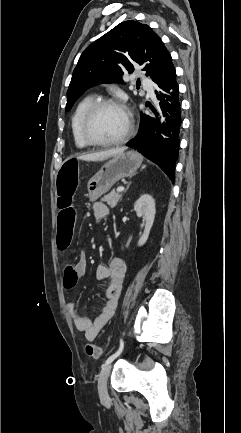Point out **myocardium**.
Masks as SVG:
<instances>
[{
    "label": "myocardium",
    "instance_id": "obj_1",
    "mask_svg": "<svg viewBox=\"0 0 241 433\" xmlns=\"http://www.w3.org/2000/svg\"><path fill=\"white\" fill-rule=\"evenodd\" d=\"M106 106L120 107L121 109L124 110L126 117H127V126H126L124 133L120 137H118L114 140H110V141L98 140V139L94 138L90 132V124H91L93 117L101 108L106 107ZM132 130H133V120H132V116H131L130 111L128 110V108L126 107V105L123 102H121L118 99H113V98H103V99H98V100L94 101L90 105V107L87 109V111L85 112L83 119H82V122H81L82 135H83L84 139L86 140V142L89 145H93V146L109 147V146H115V145L122 144L125 141H127V139L130 137Z\"/></svg>",
    "mask_w": 241,
    "mask_h": 433
}]
</instances>
